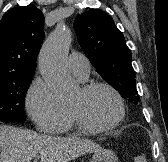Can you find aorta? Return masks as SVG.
<instances>
[{"label": "aorta", "instance_id": "obj_1", "mask_svg": "<svg viewBox=\"0 0 168 162\" xmlns=\"http://www.w3.org/2000/svg\"><path fill=\"white\" fill-rule=\"evenodd\" d=\"M71 40V31L64 23H59L39 53L41 74L54 94L63 101L73 98L77 89L65 64Z\"/></svg>", "mask_w": 168, "mask_h": 162}]
</instances>
